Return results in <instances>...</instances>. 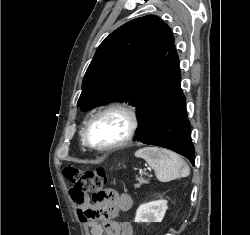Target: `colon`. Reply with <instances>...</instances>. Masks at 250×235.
Instances as JSON below:
<instances>
[{
    "label": "colon",
    "mask_w": 250,
    "mask_h": 235,
    "mask_svg": "<svg viewBox=\"0 0 250 235\" xmlns=\"http://www.w3.org/2000/svg\"><path fill=\"white\" fill-rule=\"evenodd\" d=\"M64 176L71 184L70 194L76 205H82L88 194L92 195L94 204H99L107 198V175L104 169L81 170L75 166H67ZM95 217V213H91Z\"/></svg>",
    "instance_id": "5ec220e1"
}]
</instances>
